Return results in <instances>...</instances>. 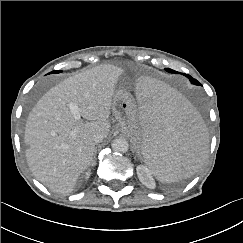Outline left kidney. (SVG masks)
<instances>
[{"instance_id": "left-kidney-1", "label": "left kidney", "mask_w": 243, "mask_h": 243, "mask_svg": "<svg viewBox=\"0 0 243 243\" xmlns=\"http://www.w3.org/2000/svg\"><path fill=\"white\" fill-rule=\"evenodd\" d=\"M136 170H137L138 178L141 181V183L145 185L147 188L154 189L156 185L153 177L151 176L149 169H147L143 165H140L137 167Z\"/></svg>"}]
</instances>
